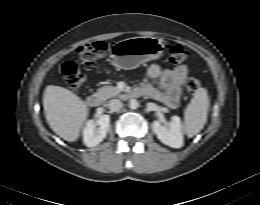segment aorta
I'll return each instance as SVG.
<instances>
[{"label":"aorta","instance_id":"aorta-1","mask_svg":"<svg viewBox=\"0 0 260 205\" xmlns=\"http://www.w3.org/2000/svg\"><path fill=\"white\" fill-rule=\"evenodd\" d=\"M129 107L131 109H137L139 107L138 101L135 100V99H131L130 102H129Z\"/></svg>","mask_w":260,"mask_h":205}]
</instances>
